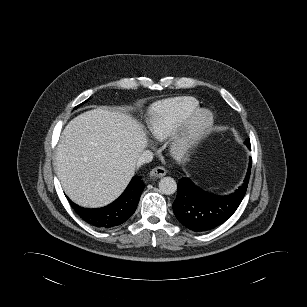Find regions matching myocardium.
Here are the masks:
<instances>
[{"instance_id":"myocardium-1","label":"myocardium","mask_w":307,"mask_h":307,"mask_svg":"<svg viewBox=\"0 0 307 307\" xmlns=\"http://www.w3.org/2000/svg\"><path fill=\"white\" fill-rule=\"evenodd\" d=\"M214 125V115L207 109H198L185 121L170 143L172 155L186 159Z\"/></svg>"}]
</instances>
